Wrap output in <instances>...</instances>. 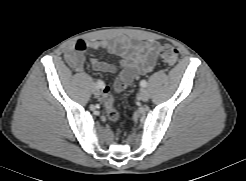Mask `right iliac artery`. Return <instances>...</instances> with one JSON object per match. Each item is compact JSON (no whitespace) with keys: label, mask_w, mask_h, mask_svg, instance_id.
<instances>
[{"label":"right iliac artery","mask_w":246,"mask_h":181,"mask_svg":"<svg viewBox=\"0 0 246 181\" xmlns=\"http://www.w3.org/2000/svg\"><path fill=\"white\" fill-rule=\"evenodd\" d=\"M97 87L98 88H103L104 87V83L100 80L97 81Z\"/></svg>","instance_id":"obj_1"}]
</instances>
